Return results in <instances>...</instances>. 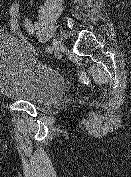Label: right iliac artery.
<instances>
[{"mask_svg": "<svg viewBox=\"0 0 131 177\" xmlns=\"http://www.w3.org/2000/svg\"><path fill=\"white\" fill-rule=\"evenodd\" d=\"M24 25H25V28L27 29V32L29 34H33V32H34L33 24L31 23V21L28 18L25 19ZM52 51H53V47H51V46L46 47L47 53H52Z\"/></svg>", "mask_w": 131, "mask_h": 177, "instance_id": "82829eb1", "label": "right iliac artery"}]
</instances>
